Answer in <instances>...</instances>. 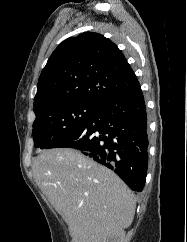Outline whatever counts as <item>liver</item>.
<instances>
[{"label":"liver","mask_w":187,"mask_h":242,"mask_svg":"<svg viewBox=\"0 0 187 242\" xmlns=\"http://www.w3.org/2000/svg\"><path fill=\"white\" fill-rule=\"evenodd\" d=\"M32 172L68 224L72 242H103L131 225L136 208L133 192L114 172L81 153L43 151Z\"/></svg>","instance_id":"obj_1"}]
</instances>
